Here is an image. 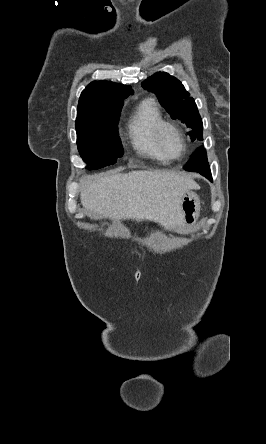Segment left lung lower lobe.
<instances>
[{
	"instance_id": "1",
	"label": "left lung lower lobe",
	"mask_w": 266,
	"mask_h": 444,
	"mask_svg": "<svg viewBox=\"0 0 266 444\" xmlns=\"http://www.w3.org/2000/svg\"><path fill=\"white\" fill-rule=\"evenodd\" d=\"M186 171H196L207 177L212 181V176L210 172V167L207 161V155L204 150H199L196 152L191 159L188 161L187 165L184 167Z\"/></svg>"
}]
</instances>
